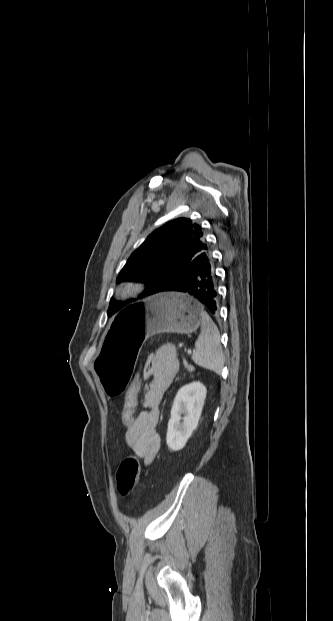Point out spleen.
I'll return each mask as SVG.
<instances>
[{"label":"spleen","instance_id":"spleen-1","mask_svg":"<svg viewBox=\"0 0 333 621\" xmlns=\"http://www.w3.org/2000/svg\"><path fill=\"white\" fill-rule=\"evenodd\" d=\"M192 359L200 367L221 374L224 355L220 344V333L210 316L205 312L201 322V333L195 342Z\"/></svg>","mask_w":333,"mask_h":621}]
</instances>
